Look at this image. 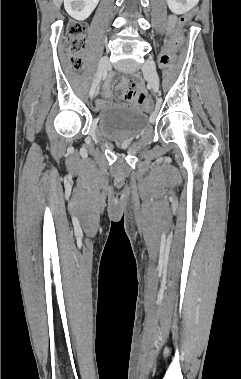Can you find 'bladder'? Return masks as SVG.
Here are the masks:
<instances>
[{"label": "bladder", "mask_w": 241, "mask_h": 379, "mask_svg": "<svg viewBox=\"0 0 241 379\" xmlns=\"http://www.w3.org/2000/svg\"><path fill=\"white\" fill-rule=\"evenodd\" d=\"M99 132L112 141H130L138 138L148 127L147 115L137 107L114 105L96 117Z\"/></svg>", "instance_id": "1"}]
</instances>
